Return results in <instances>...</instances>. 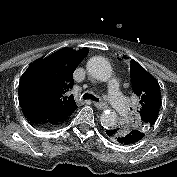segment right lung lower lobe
Segmentation results:
<instances>
[{"mask_svg": "<svg viewBox=\"0 0 177 177\" xmlns=\"http://www.w3.org/2000/svg\"><path fill=\"white\" fill-rule=\"evenodd\" d=\"M28 118L31 125L39 129H53L59 127L65 121H58L55 118H48L45 115L34 113V112H24Z\"/></svg>", "mask_w": 177, "mask_h": 177, "instance_id": "obj_1", "label": "right lung lower lobe"}]
</instances>
